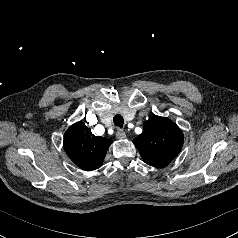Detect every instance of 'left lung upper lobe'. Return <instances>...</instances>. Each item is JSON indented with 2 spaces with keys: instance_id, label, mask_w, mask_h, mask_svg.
<instances>
[{
  "instance_id": "left-lung-upper-lobe-1",
  "label": "left lung upper lobe",
  "mask_w": 238,
  "mask_h": 238,
  "mask_svg": "<svg viewBox=\"0 0 238 238\" xmlns=\"http://www.w3.org/2000/svg\"><path fill=\"white\" fill-rule=\"evenodd\" d=\"M183 140L182 131L172 120L154 115L133 143L146 164L164 168L179 154Z\"/></svg>"
}]
</instances>
